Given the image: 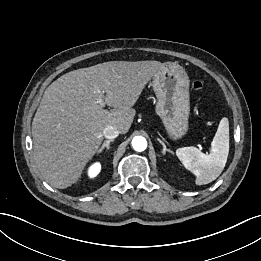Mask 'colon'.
<instances>
[{"label": "colon", "instance_id": "1", "mask_svg": "<svg viewBox=\"0 0 261 261\" xmlns=\"http://www.w3.org/2000/svg\"><path fill=\"white\" fill-rule=\"evenodd\" d=\"M192 88L195 91H200L203 88V83L201 81H194L192 84Z\"/></svg>", "mask_w": 261, "mask_h": 261}]
</instances>
